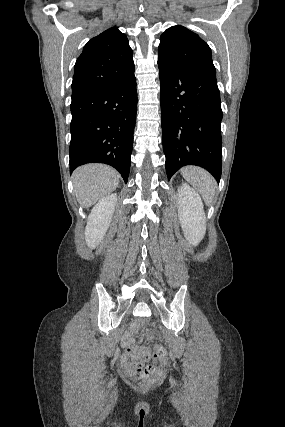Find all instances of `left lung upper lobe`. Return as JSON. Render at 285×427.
I'll use <instances>...</instances> for the list:
<instances>
[{
	"mask_svg": "<svg viewBox=\"0 0 285 427\" xmlns=\"http://www.w3.org/2000/svg\"><path fill=\"white\" fill-rule=\"evenodd\" d=\"M158 59L169 65L199 69L216 76L210 47L197 34L180 25L168 28L161 35Z\"/></svg>",
	"mask_w": 285,
	"mask_h": 427,
	"instance_id": "obj_1",
	"label": "left lung upper lobe"
}]
</instances>
